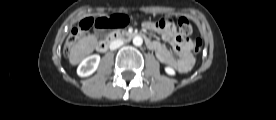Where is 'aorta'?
<instances>
[{
	"label": "aorta",
	"mask_w": 276,
	"mask_h": 120,
	"mask_svg": "<svg viewBox=\"0 0 276 120\" xmlns=\"http://www.w3.org/2000/svg\"><path fill=\"white\" fill-rule=\"evenodd\" d=\"M142 43H143L142 37H140V36H135V37L133 38V44H134L135 46H141Z\"/></svg>",
	"instance_id": "aorta-1"
}]
</instances>
